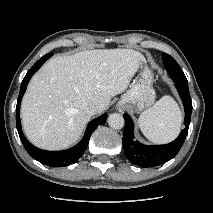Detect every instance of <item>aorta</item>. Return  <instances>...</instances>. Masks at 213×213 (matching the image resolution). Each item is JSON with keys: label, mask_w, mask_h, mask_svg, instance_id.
<instances>
[{"label": "aorta", "mask_w": 213, "mask_h": 213, "mask_svg": "<svg viewBox=\"0 0 213 213\" xmlns=\"http://www.w3.org/2000/svg\"><path fill=\"white\" fill-rule=\"evenodd\" d=\"M108 124L113 129H121L124 127L125 121L122 115L114 113L108 117Z\"/></svg>", "instance_id": "aorta-1"}]
</instances>
